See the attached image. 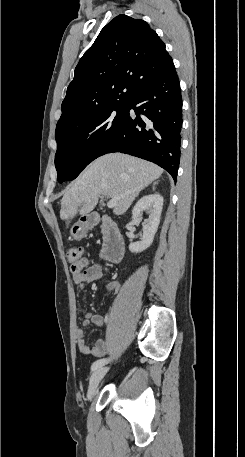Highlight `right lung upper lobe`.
<instances>
[{
	"label": "right lung upper lobe",
	"mask_w": 245,
	"mask_h": 457,
	"mask_svg": "<svg viewBox=\"0 0 245 457\" xmlns=\"http://www.w3.org/2000/svg\"><path fill=\"white\" fill-rule=\"evenodd\" d=\"M173 70L157 33L144 20L121 14L101 30L76 66L57 126L112 102L130 101L146 82Z\"/></svg>",
	"instance_id": "right-lung-upper-lobe-1"
}]
</instances>
